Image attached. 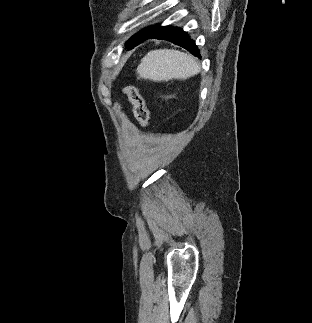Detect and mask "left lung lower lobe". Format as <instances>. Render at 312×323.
Returning <instances> with one entry per match:
<instances>
[{"label": "left lung lower lobe", "mask_w": 312, "mask_h": 323, "mask_svg": "<svg viewBox=\"0 0 312 323\" xmlns=\"http://www.w3.org/2000/svg\"><path fill=\"white\" fill-rule=\"evenodd\" d=\"M150 38L162 39L174 42L175 44L185 48L193 55L200 57V52L198 47L195 44V41L192 40L189 35L183 31L182 28L178 27H163L159 25L153 26L152 30L146 35L142 41ZM141 41V42H142Z\"/></svg>", "instance_id": "obj_1"}]
</instances>
